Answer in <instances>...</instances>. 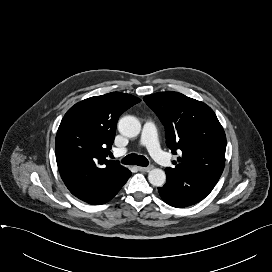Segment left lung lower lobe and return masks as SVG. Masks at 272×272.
Instances as JSON below:
<instances>
[{
    "instance_id": "1",
    "label": "left lung lower lobe",
    "mask_w": 272,
    "mask_h": 272,
    "mask_svg": "<svg viewBox=\"0 0 272 272\" xmlns=\"http://www.w3.org/2000/svg\"><path fill=\"white\" fill-rule=\"evenodd\" d=\"M166 176L165 185L158 188V191L164 202L176 208H184L203 200L219 180L190 172L171 174L166 171Z\"/></svg>"
}]
</instances>
